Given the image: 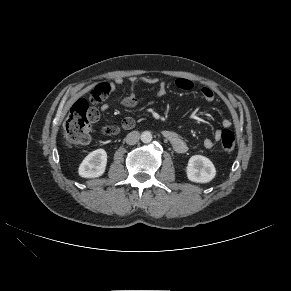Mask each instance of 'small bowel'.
I'll use <instances>...</instances> for the list:
<instances>
[{
	"mask_svg": "<svg viewBox=\"0 0 291 291\" xmlns=\"http://www.w3.org/2000/svg\"><path fill=\"white\" fill-rule=\"evenodd\" d=\"M129 81L132 84H136L140 81L148 83V84H157L158 83L159 84L158 96H163L166 93L165 83L159 82V80L157 78H153V77L139 78L137 76H132V77H130ZM123 82H124V79L122 77L118 76L113 80V82L102 83L98 86H103L107 89V94L105 95V97H106L107 95L111 94ZM175 85L177 88L184 90V91H189L193 88V82L189 79H186V78H177L175 81ZM200 96L205 102H212L215 98L213 90L209 87L201 88ZM139 103H140V101L133 94L126 96L122 100L123 106L128 107V108L135 107ZM108 109H109V104L107 102H102L101 105L99 106L100 111H107ZM93 110H94L93 121H97L99 118V112L96 108H93ZM222 124H223L224 128L231 127V121L228 119H225ZM163 134L168 139V141L171 143L172 147L174 148V150L176 152L184 153L187 151L188 146H187L186 142L177 132L168 129V130H165L163 132ZM220 137H221V131H217L215 133L214 139L217 141L220 139ZM203 145L206 149H210L213 147L214 141L212 139H205L203 141Z\"/></svg>",
	"mask_w": 291,
	"mask_h": 291,
	"instance_id": "obj_1",
	"label": "small bowel"
}]
</instances>
